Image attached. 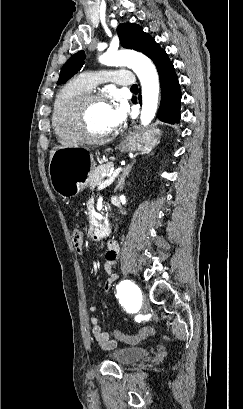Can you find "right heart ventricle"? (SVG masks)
<instances>
[{
	"label": "right heart ventricle",
	"mask_w": 243,
	"mask_h": 409,
	"mask_svg": "<svg viewBox=\"0 0 243 409\" xmlns=\"http://www.w3.org/2000/svg\"><path fill=\"white\" fill-rule=\"evenodd\" d=\"M90 90L79 77L68 81L58 92L53 103L52 126L61 144L74 146L83 142L74 125L73 107L77 99Z\"/></svg>",
	"instance_id": "1"
}]
</instances>
